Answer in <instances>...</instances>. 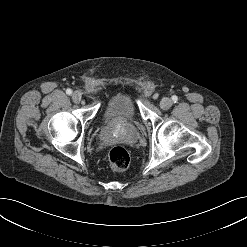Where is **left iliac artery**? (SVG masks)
I'll use <instances>...</instances> for the list:
<instances>
[{
  "instance_id": "1",
  "label": "left iliac artery",
  "mask_w": 247,
  "mask_h": 247,
  "mask_svg": "<svg viewBox=\"0 0 247 247\" xmlns=\"http://www.w3.org/2000/svg\"><path fill=\"white\" fill-rule=\"evenodd\" d=\"M172 100L174 101V102H177L178 101V97L177 96H172Z\"/></svg>"
}]
</instances>
